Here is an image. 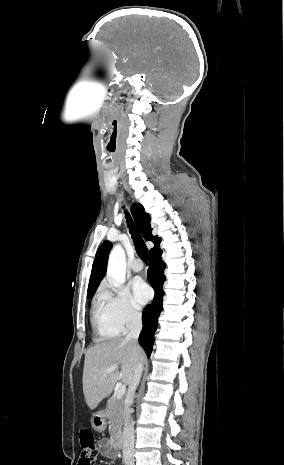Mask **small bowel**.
I'll use <instances>...</instances> for the list:
<instances>
[{
    "label": "small bowel",
    "instance_id": "1",
    "mask_svg": "<svg viewBox=\"0 0 284 465\" xmlns=\"http://www.w3.org/2000/svg\"><path fill=\"white\" fill-rule=\"evenodd\" d=\"M98 448L100 454L109 459H116L118 454L111 441L107 438H103L98 442Z\"/></svg>",
    "mask_w": 284,
    "mask_h": 465
}]
</instances>
